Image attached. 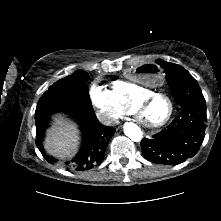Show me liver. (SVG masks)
<instances>
[{
    "label": "liver",
    "instance_id": "1",
    "mask_svg": "<svg viewBox=\"0 0 221 221\" xmlns=\"http://www.w3.org/2000/svg\"><path fill=\"white\" fill-rule=\"evenodd\" d=\"M78 133L75 124L62 118H55V123L45 139L44 148L57 158L72 157L77 152Z\"/></svg>",
    "mask_w": 221,
    "mask_h": 221
}]
</instances>
